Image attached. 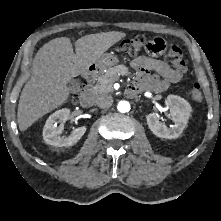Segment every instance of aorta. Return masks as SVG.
I'll list each match as a JSON object with an SVG mask.
<instances>
[{"label":"aorta","instance_id":"obj_1","mask_svg":"<svg viewBox=\"0 0 221 221\" xmlns=\"http://www.w3.org/2000/svg\"><path fill=\"white\" fill-rule=\"evenodd\" d=\"M117 109L121 113H126L130 110V103L128 101H120L117 105Z\"/></svg>","mask_w":221,"mask_h":221}]
</instances>
